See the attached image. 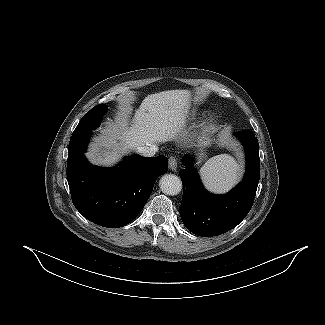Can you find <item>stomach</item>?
<instances>
[{"label":"stomach","instance_id":"1","mask_svg":"<svg viewBox=\"0 0 325 325\" xmlns=\"http://www.w3.org/2000/svg\"><path fill=\"white\" fill-rule=\"evenodd\" d=\"M210 141L207 139L200 140L198 143V147L200 148V152L198 153L199 162H202L206 158V153L204 152V148L209 146Z\"/></svg>","mask_w":325,"mask_h":325}]
</instances>
